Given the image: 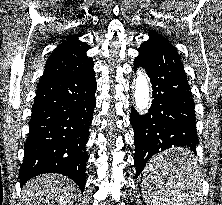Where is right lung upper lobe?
<instances>
[{
  "mask_svg": "<svg viewBox=\"0 0 222 205\" xmlns=\"http://www.w3.org/2000/svg\"><path fill=\"white\" fill-rule=\"evenodd\" d=\"M80 35H70L55 48L46 62L40 80L80 73L93 66L92 58L86 55L90 46L78 41Z\"/></svg>",
  "mask_w": 222,
  "mask_h": 205,
  "instance_id": "cb5924a9",
  "label": "right lung upper lobe"
}]
</instances>
